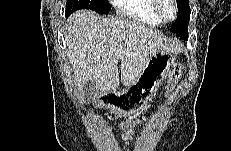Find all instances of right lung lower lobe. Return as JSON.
I'll return each mask as SVG.
<instances>
[{"label":"right lung lower lobe","mask_w":231,"mask_h":151,"mask_svg":"<svg viewBox=\"0 0 231 151\" xmlns=\"http://www.w3.org/2000/svg\"><path fill=\"white\" fill-rule=\"evenodd\" d=\"M65 15H66V17H68L70 14H68V13L65 12Z\"/></svg>","instance_id":"98d812e1"}]
</instances>
